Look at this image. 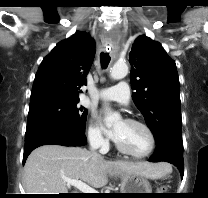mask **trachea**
Instances as JSON below:
<instances>
[{"instance_id": "1", "label": "trachea", "mask_w": 208, "mask_h": 198, "mask_svg": "<svg viewBox=\"0 0 208 198\" xmlns=\"http://www.w3.org/2000/svg\"><path fill=\"white\" fill-rule=\"evenodd\" d=\"M100 59H101L102 68H107V66L111 60V57L109 56V54L102 52L100 54Z\"/></svg>"}]
</instances>
